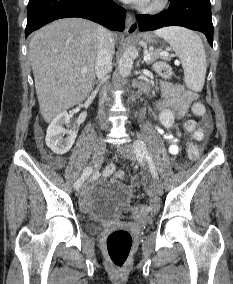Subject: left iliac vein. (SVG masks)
<instances>
[{
    "label": "left iliac vein",
    "instance_id": "4c4485c4",
    "mask_svg": "<svg viewBox=\"0 0 233 284\" xmlns=\"http://www.w3.org/2000/svg\"><path fill=\"white\" fill-rule=\"evenodd\" d=\"M118 151L125 156L126 158L130 160H136L138 159L139 161L142 160V157H139L136 153L135 147L131 144H125L122 147L118 149ZM152 190L155 194L161 195L163 193V185L158 179H154L152 181Z\"/></svg>",
    "mask_w": 233,
    "mask_h": 284
}]
</instances>
